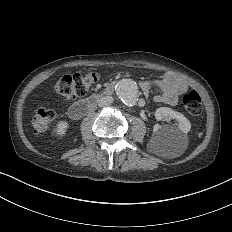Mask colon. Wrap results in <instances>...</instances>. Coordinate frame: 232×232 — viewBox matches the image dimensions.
<instances>
[{"mask_svg": "<svg viewBox=\"0 0 232 232\" xmlns=\"http://www.w3.org/2000/svg\"><path fill=\"white\" fill-rule=\"evenodd\" d=\"M99 80V75L95 71H88L87 74H60V81H57L52 86V91L56 95L62 93L66 96H71L74 93L83 95L87 92V89H93L95 83ZM90 83V84H87ZM185 102H179V107H185L187 117H200L202 109L200 104L202 98L193 92L183 94ZM54 109H50V106H43V108H37V116H32L34 121L36 134H41V131H52L51 117H53Z\"/></svg>", "mask_w": 232, "mask_h": 232, "instance_id": "5ec220e1", "label": "colon"}]
</instances>
